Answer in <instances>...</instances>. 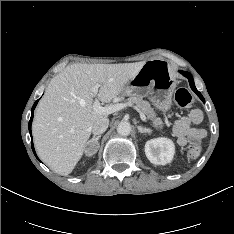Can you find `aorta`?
<instances>
[{"instance_id": "1", "label": "aorta", "mask_w": 234, "mask_h": 234, "mask_svg": "<svg viewBox=\"0 0 234 234\" xmlns=\"http://www.w3.org/2000/svg\"><path fill=\"white\" fill-rule=\"evenodd\" d=\"M118 134L122 136H128L131 133V125L129 122L122 121L117 126Z\"/></svg>"}]
</instances>
